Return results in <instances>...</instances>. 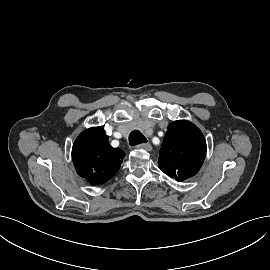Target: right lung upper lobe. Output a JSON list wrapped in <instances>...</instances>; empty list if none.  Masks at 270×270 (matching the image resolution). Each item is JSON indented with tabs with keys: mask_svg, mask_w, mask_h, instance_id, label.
<instances>
[{
	"mask_svg": "<svg viewBox=\"0 0 270 270\" xmlns=\"http://www.w3.org/2000/svg\"><path fill=\"white\" fill-rule=\"evenodd\" d=\"M102 127L82 132L72 148V159L77 173L90 184L107 182L119 170L125 153L113 148Z\"/></svg>",
	"mask_w": 270,
	"mask_h": 270,
	"instance_id": "cb5924a9",
	"label": "right lung upper lobe"
}]
</instances>
